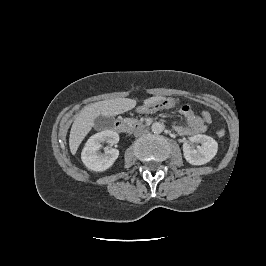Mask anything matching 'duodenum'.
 Masks as SVG:
<instances>
[{
    "label": "duodenum",
    "mask_w": 266,
    "mask_h": 266,
    "mask_svg": "<svg viewBox=\"0 0 266 266\" xmlns=\"http://www.w3.org/2000/svg\"><path fill=\"white\" fill-rule=\"evenodd\" d=\"M131 129L130 125L123 118H118L115 121V130L119 133L128 132Z\"/></svg>",
    "instance_id": "obj_1"
}]
</instances>
